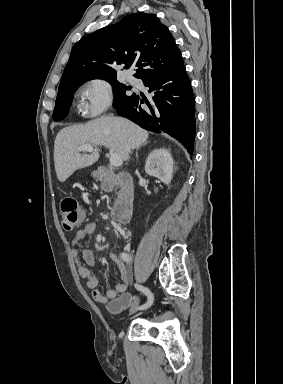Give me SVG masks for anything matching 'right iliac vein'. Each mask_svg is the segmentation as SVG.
Returning <instances> with one entry per match:
<instances>
[{"instance_id":"1","label":"right iliac vein","mask_w":283,"mask_h":384,"mask_svg":"<svg viewBox=\"0 0 283 384\" xmlns=\"http://www.w3.org/2000/svg\"><path fill=\"white\" fill-rule=\"evenodd\" d=\"M136 311H137V307H136V305H135V306H133V307L131 308V310H130V314H134Z\"/></svg>"}]
</instances>
